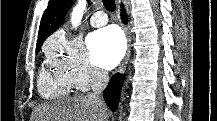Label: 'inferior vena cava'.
<instances>
[{
  "label": "inferior vena cava",
  "mask_w": 217,
  "mask_h": 121,
  "mask_svg": "<svg viewBox=\"0 0 217 121\" xmlns=\"http://www.w3.org/2000/svg\"><path fill=\"white\" fill-rule=\"evenodd\" d=\"M109 81V75L106 71L97 70L92 80V92L88 94L89 98L96 100L99 104H104L100 98L101 93L105 89Z\"/></svg>",
  "instance_id": "obj_1"
}]
</instances>
